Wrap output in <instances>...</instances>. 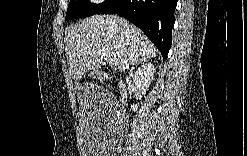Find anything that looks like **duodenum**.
I'll use <instances>...</instances> for the list:
<instances>
[{"label":"duodenum","instance_id":"410a0bca","mask_svg":"<svg viewBox=\"0 0 247 156\" xmlns=\"http://www.w3.org/2000/svg\"><path fill=\"white\" fill-rule=\"evenodd\" d=\"M120 92H121L122 95L127 93V89L123 84L120 86Z\"/></svg>","mask_w":247,"mask_h":156}]
</instances>
